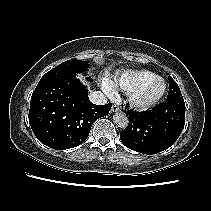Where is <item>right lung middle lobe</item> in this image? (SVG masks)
<instances>
[{
    "label": "right lung middle lobe",
    "instance_id": "1",
    "mask_svg": "<svg viewBox=\"0 0 211 211\" xmlns=\"http://www.w3.org/2000/svg\"><path fill=\"white\" fill-rule=\"evenodd\" d=\"M88 67L89 64L87 63V61L68 60L59 64L57 67L44 74L39 82L58 78L68 74H75L78 72H82Z\"/></svg>",
    "mask_w": 211,
    "mask_h": 211
}]
</instances>
